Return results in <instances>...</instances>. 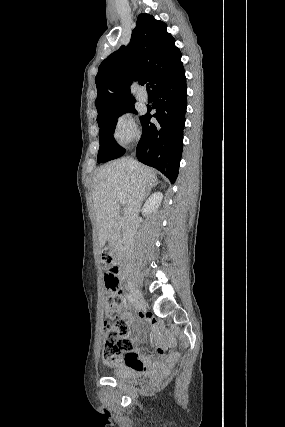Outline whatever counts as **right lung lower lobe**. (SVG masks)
<instances>
[{"label":"right lung lower lobe","mask_w":285,"mask_h":427,"mask_svg":"<svg viewBox=\"0 0 285 427\" xmlns=\"http://www.w3.org/2000/svg\"><path fill=\"white\" fill-rule=\"evenodd\" d=\"M152 92V106L156 110L153 117L157 123L150 122V111L142 116V136L136 154L139 161L158 169L174 183L181 160L187 107L185 71Z\"/></svg>","instance_id":"98d812e1"}]
</instances>
